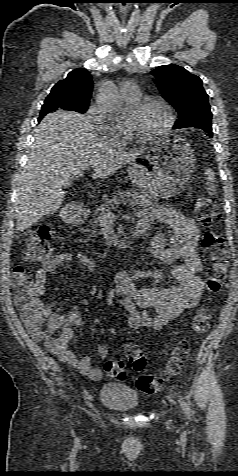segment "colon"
I'll list each match as a JSON object with an SVG mask.
<instances>
[{"mask_svg":"<svg viewBox=\"0 0 238 476\" xmlns=\"http://www.w3.org/2000/svg\"><path fill=\"white\" fill-rule=\"evenodd\" d=\"M195 215L199 223L207 228L202 238V247L209 263L207 286L210 291L219 292L226 286L229 260V248L225 239L212 229L220 220V212L211 199L199 197L195 204ZM52 233V229L48 226H41L31 233L23 252L24 259L30 262L49 260L52 256L50 246ZM11 279L15 303L31 335L37 339H44L51 350L59 348L70 337V331L64 328L51 330L48 326L46 327L45 323L48 318L46 306L39 299L35 282L24 267H15ZM209 323L210 311L201 308L191 320V329L194 333L201 334L208 330ZM124 351L132 368L141 373L146 366L143 350L135 343H127ZM188 352V342L181 341L174 351L166 373L164 375L141 373L136 378V388L146 394L160 391L165 380L180 371ZM104 371L107 377L114 379H123L127 373L126 367L121 361H108Z\"/></svg>","mask_w":238,"mask_h":476,"instance_id":"5ec220e1","label":"colon"}]
</instances>
